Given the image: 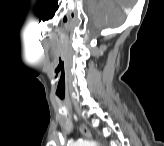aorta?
Segmentation results:
<instances>
[{
  "mask_svg": "<svg viewBox=\"0 0 164 146\" xmlns=\"http://www.w3.org/2000/svg\"><path fill=\"white\" fill-rule=\"evenodd\" d=\"M97 143L93 141H81L79 146H95Z\"/></svg>",
  "mask_w": 164,
  "mask_h": 146,
  "instance_id": "762f6f07",
  "label": "aorta"
}]
</instances>
